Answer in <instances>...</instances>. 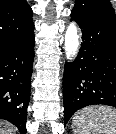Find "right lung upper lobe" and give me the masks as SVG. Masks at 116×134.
Listing matches in <instances>:
<instances>
[{"label": "right lung upper lobe", "mask_w": 116, "mask_h": 134, "mask_svg": "<svg viewBox=\"0 0 116 134\" xmlns=\"http://www.w3.org/2000/svg\"><path fill=\"white\" fill-rule=\"evenodd\" d=\"M26 0H0V53L34 30Z\"/></svg>", "instance_id": "obj_1"}]
</instances>
